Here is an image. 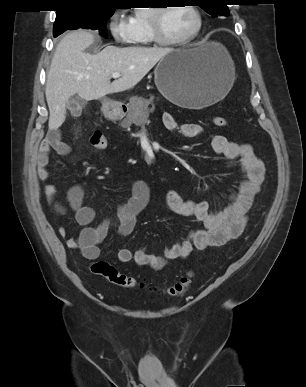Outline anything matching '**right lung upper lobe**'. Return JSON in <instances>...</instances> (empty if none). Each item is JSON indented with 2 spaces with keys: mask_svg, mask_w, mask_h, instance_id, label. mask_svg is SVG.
Here are the masks:
<instances>
[{
  "mask_svg": "<svg viewBox=\"0 0 306 387\" xmlns=\"http://www.w3.org/2000/svg\"><path fill=\"white\" fill-rule=\"evenodd\" d=\"M61 5L57 13L70 10H115L116 0H60Z\"/></svg>",
  "mask_w": 306,
  "mask_h": 387,
  "instance_id": "1",
  "label": "right lung upper lobe"
}]
</instances>
